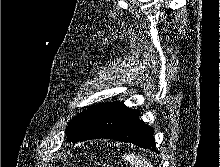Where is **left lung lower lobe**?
Masks as SVG:
<instances>
[{"label":"left lung lower lobe","mask_w":220,"mask_h":167,"mask_svg":"<svg viewBox=\"0 0 220 167\" xmlns=\"http://www.w3.org/2000/svg\"><path fill=\"white\" fill-rule=\"evenodd\" d=\"M139 114V110L130 109L122 102H111L88 131L73 143L97 138L114 139L159 153L155 149L153 129L139 119Z\"/></svg>","instance_id":"obj_1"}]
</instances>
